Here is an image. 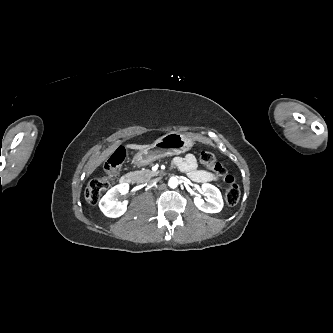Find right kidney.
Returning a JSON list of instances; mask_svg holds the SVG:
<instances>
[{"label":"right kidney","mask_w":333,"mask_h":333,"mask_svg":"<svg viewBox=\"0 0 333 333\" xmlns=\"http://www.w3.org/2000/svg\"><path fill=\"white\" fill-rule=\"evenodd\" d=\"M129 192V184L121 183L111 188L100 200L99 207L105 216L116 218L120 217L127 210V201L118 202L119 195Z\"/></svg>","instance_id":"obj_1"}]
</instances>
